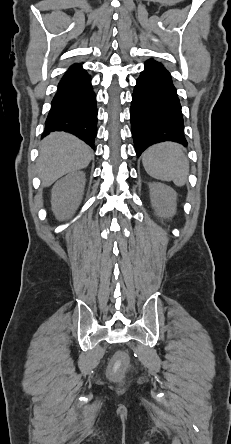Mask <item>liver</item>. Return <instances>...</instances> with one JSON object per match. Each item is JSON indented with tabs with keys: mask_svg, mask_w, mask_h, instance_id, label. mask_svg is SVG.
Segmentation results:
<instances>
[{
	"mask_svg": "<svg viewBox=\"0 0 231 444\" xmlns=\"http://www.w3.org/2000/svg\"><path fill=\"white\" fill-rule=\"evenodd\" d=\"M39 150L37 172L44 187L52 185L65 174L85 168L94 156L86 143L64 132L48 135Z\"/></svg>",
	"mask_w": 231,
	"mask_h": 444,
	"instance_id": "6515ba94",
	"label": "liver"
}]
</instances>
